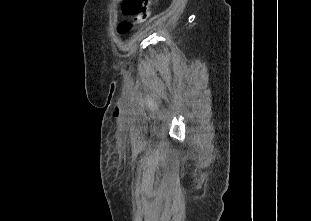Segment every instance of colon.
Returning <instances> with one entry per match:
<instances>
[{"label": "colon", "mask_w": 311, "mask_h": 221, "mask_svg": "<svg viewBox=\"0 0 311 221\" xmlns=\"http://www.w3.org/2000/svg\"><path fill=\"white\" fill-rule=\"evenodd\" d=\"M150 0H123V13L122 17H135V24H143L145 23L149 16L150 11L148 8V3ZM131 24L128 21H123L119 33L124 34L130 28Z\"/></svg>", "instance_id": "5ec220e1"}]
</instances>
